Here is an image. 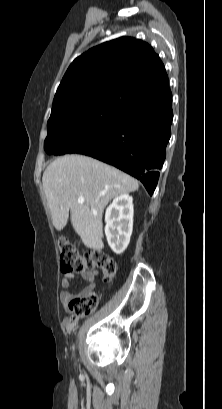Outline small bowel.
<instances>
[{
  "label": "small bowel",
  "mask_w": 222,
  "mask_h": 409,
  "mask_svg": "<svg viewBox=\"0 0 222 409\" xmlns=\"http://www.w3.org/2000/svg\"><path fill=\"white\" fill-rule=\"evenodd\" d=\"M97 271H90V272H84L81 274V277L86 281V286L83 288L82 292H89L92 291L95 287L96 284V278H97ZM76 279V276L72 273H63V277L61 280V286L63 290L60 293V301L62 304L66 305L70 302L72 298L75 297V295L69 290L72 282ZM79 319L76 317H73L72 315L66 317L63 320V327L66 330V332H71L75 326L77 325Z\"/></svg>",
  "instance_id": "small-bowel-1"
}]
</instances>
